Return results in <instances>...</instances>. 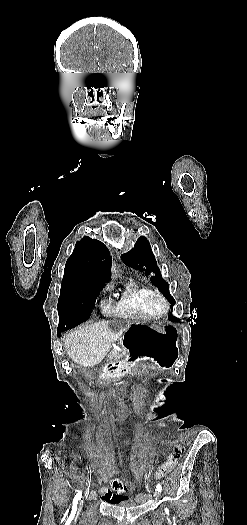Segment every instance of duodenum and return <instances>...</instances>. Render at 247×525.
I'll return each mask as SVG.
<instances>
[{
  "label": "duodenum",
  "instance_id": "410a0bca",
  "mask_svg": "<svg viewBox=\"0 0 247 525\" xmlns=\"http://www.w3.org/2000/svg\"><path fill=\"white\" fill-rule=\"evenodd\" d=\"M133 362L132 361H118L115 363H111L106 365L101 370V375L106 376H117V375H123L128 372H130L133 369Z\"/></svg>",
  "mask_w": 247,
  "mask_h": 525
}]
</instances>
